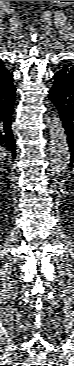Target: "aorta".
Listing matches in <instances>:
<instances>
[{
  "label": "aorta",
  "instance_id": "aorta-1",
  "mask_svg": "<svg viewBox=\"0 0 74 366\" xmlns=\"http://www.w3.org/2000/svg\"><path fill=\"white\" fill-rule=\"evenodd\" d=\"M49 133V173L52 176H57L67 168L70 160V153L65 129L56 112H53L49 117Z\"/></svg>",
  "mask_w": 74,
  "mask_h": 366
}]
</instances>
